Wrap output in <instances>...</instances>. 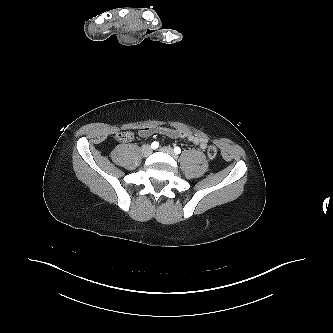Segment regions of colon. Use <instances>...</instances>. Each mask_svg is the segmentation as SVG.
Masks as SVG:
<instances>
[{
	"label": "colon",
	"instance_id": "colon-1",
	"mask_svg": "<svg viewBox=\"0 0 333 333\" xmlns=\"http://www.w3.org/2000/svg\"><path fill=\"white\" fill-rule=\"evenodd\" d=\"M117 140L125 142V141H130L131 139H133V133L132 132H128V131H124V132H119L116 135ZM207 155L209 158L213 159L217 156V149L215 146H209L207 148Z\"/></svg>",
	"mask_w": 333,
	"mask_h": 333
}]
</instances>
